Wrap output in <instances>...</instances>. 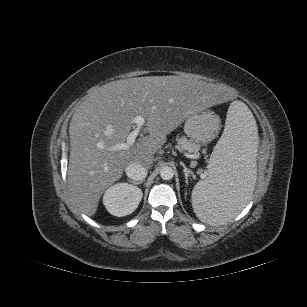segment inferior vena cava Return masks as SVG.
<instances>
[{"label":"inferior vena cava","mask_w":307,"mask_h":307,"mask_svg":"<svg viewBox=\"0 0 307 307\" xmlns=\"http://www.w3.org/2000/svg\"><path fill=\"white\" fill-rule=\"evenodd\" d=\"M126 175L135 181L143 180L147 176V169L138 163H132L125 168Z\"/></svg>","instance_id":"obj_1"}]
</instances>
